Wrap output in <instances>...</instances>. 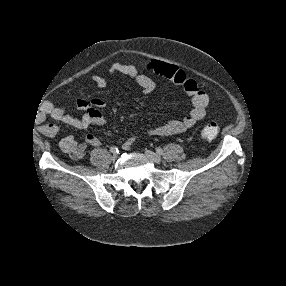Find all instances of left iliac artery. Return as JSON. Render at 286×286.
<instances>
[{"mask_svg":"<svg viewBox=\"0 0 286 286\" xmlns=\"http://www.w3.org/2000/svg\"><path fill=\"white\" fill-rule=\"evenodd\" d=\"M157 153H158L159 155H161V154L163 153V150H162L161 148H158V149H157Z\"/></svg>","mask_w":286,"mask_h":286,"instance_id":"44dca946","label":"left iliac artery"}]
</instances>
